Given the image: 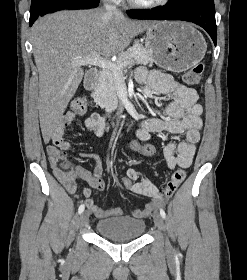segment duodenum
I'll list each match as a JSON object with an SVG mask.
<instances>
[{
  "mask_svg": "<svg viewBox=\"0 0 247 280\" xmlns=\"http://www.w3.org/2000/svg\"><path fill=\"white\" fill-rule=\"evenodd\" d=\"M98 79H99V71L91 70L85 78V88L87 90H93L98 83Z\"/></svg>",
  "mask_w": 247,
  "mask_h": 280,
  "instance_id": "obj_1",
  "label": "duodenum"
}]
</instances>
